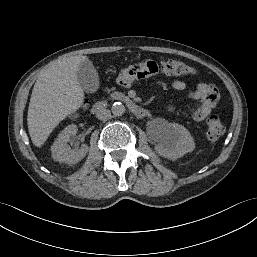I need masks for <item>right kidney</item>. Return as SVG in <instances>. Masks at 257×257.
<instances>
[{"instance_id":"right-kidney-1","label":"right kidney","mask_w":257,"mask_h":257,"mask_svg":"<svg viewBox=\"0 0 257 257\" xmlns=\"http://www.w3.org/2000/svg\"><path fill=\"white\" fill-rule=\"evenodd\" d=\"M78 128L75 124L68 125L59 134L54 144L51 146L52 157L55 161L60 163L73 164L82 160L87 152L88 146L86 144L81 145L80 148L72 150L67 144L71 136L77 134Z\"/></svg>"}]
</instances>
